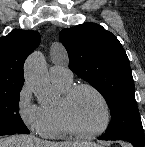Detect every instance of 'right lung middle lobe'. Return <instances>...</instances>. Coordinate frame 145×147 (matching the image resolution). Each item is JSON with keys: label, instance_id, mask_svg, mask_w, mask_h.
<instances>
[{"label": "right lung middle lobe", "instance_id": "right-lung-middle-lobe-1", "mask_svg": "<svg viewBox=\"0 0 145 147\" xmlns=\"http://www.w3.org/2000/svg\"><path fill=\"white\" fill-rule=\"evenodd\" d=\"M21 89L0 91V136L30 133L18 112Z\"/></svg>", "mask_w": 145, "mask_h": 147}]
</instances>
